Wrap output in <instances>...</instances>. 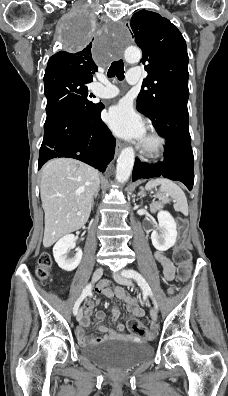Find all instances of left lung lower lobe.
Here are the masks:
<instances>
[{
  "instance_id": "obj_1",
  "label": "left lung lower lobe",
  "mask_w": 228,
  "mask_h": 396,
  "mask_svg": "<svg viewBox=\"0 0 228 396\" xmlns=\"http://www.w3.org/2000/svg\"><path fill=\"white\" fill-rule=\"evenodd\" d=\"M188 99L171 101L158 109L154 122L157 133L166 138L164 161L146 164L135 159L133 181L163 176L181 181L189 190L194 183L193 152L188 129Z\"/></svg>"
}]
</instances>
